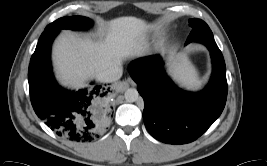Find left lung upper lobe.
Here are the masks:
<instances>
[{
    "label": "left lung upper lobe",
    "mask_w": 267,
    "mask_h": 166,
    "mask_svg": "<svg viewBox=\"0 0 267 166\" xmlns=\"http://www.w3.org/2000/svg\"><path fill=\"white\" fill-rule=\"evenodd\" d=\"M189 25L192 27V31L187 38L186 44L203 34H212L208 25L200 19H190Z\"/></svg>",
    "instance_id": "5c2ea615"
}]
</instances>
